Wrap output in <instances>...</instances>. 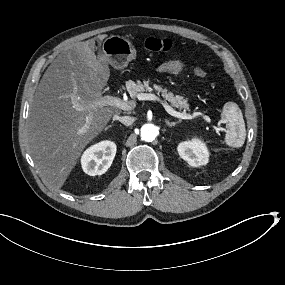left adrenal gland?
Wrapping results in <instances>:
<instances>
[{"label": "left adrenal gland", "instance_id": "left-adrenal-gland-1", "mask_svg": "<svg viewBox=\"0 0 285 285\" xmlns=\"http://www.w3.org/2000/svg\"><path fill=\"white\" fill-rule=\"evenodd\" d=\"M181 123V121H177L176 123L175 122H168V121H166V125L169 127V128H172V127H175V126H177L178 124H180Z\"/></svg>", "mask_w": 285, "mask_h": 285}]
</instances>
